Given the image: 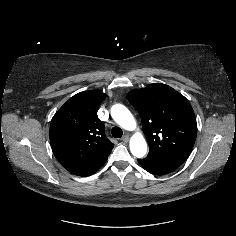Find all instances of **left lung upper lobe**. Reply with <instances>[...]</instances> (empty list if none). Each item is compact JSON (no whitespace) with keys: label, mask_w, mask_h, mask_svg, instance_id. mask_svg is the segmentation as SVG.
<instances>
[{"label":"left lung upper lobe","mask_w":236,"mask_h":236,"mask_svg":"<svg viewBox=\"0 0 236 236\" xmlns=\"http://www.w3.org/2000/svg\"><path fill=\"white\" fill-rule=\"evenodd\" d=\"M127 99L139 113L149 143L144 160L156 165L181 166L189 157L197 135L190 102L161 83L133 90Z\"/></svg>","instance_id":"obj_1"}]
</instances>
